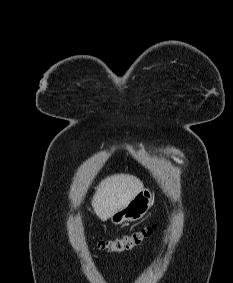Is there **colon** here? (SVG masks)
I'll return each mask as SVG.
<instances>
[{
	"instance_id": "colon-1",
	"label": "colon",
	"mask_w": 233,
	"mask_h": 283,
	"mask_svg": "<svg viewBox=\"0 0 233 283\" xmlns=\"http://www.w3.org/2000/svg\"><path fill=\"white\" fill-rule=\"evenodd\" d=\"M154 229L155 225L145 226L113 239L101 241L98 243V247L108 253L129 251L142 244L153 233Z\"/></svg>"
}]
</instances>
